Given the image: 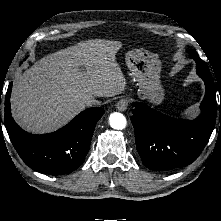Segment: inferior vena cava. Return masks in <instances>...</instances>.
I'll return each instance as SVG.
<instances>
[{
  "label": "inferior vena cava",
  "instance_id": "602c4592",
  "mask_svg": "<svg viewBox=\"0 0 221 221\" xmlns=\"http://www.w3.org/2000/svg\"><path fill=\"white\" fill-rule=\"evenodd\" d=\"M85 103H86L87 105H91V104H98L99 101H97V100L94 99L93 97H87V98L85 99Z\"/></svg>",
  "mask_w": 221,
  "mask_h": 221
}]
</instances>
